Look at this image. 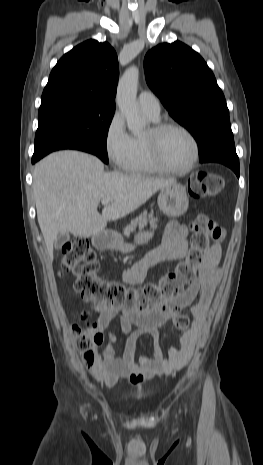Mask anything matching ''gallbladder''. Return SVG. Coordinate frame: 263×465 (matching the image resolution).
Masks as SVG:
<instances>
[{
	"label": "gallbladder",
	"instance_id": "bac80fb5",
	"mask_svg": "<svg viewBox=\"0 0 263 465\" xmlns=\"http://www.w3.org/2000/svg\"><path fill=\"white\" fill-rule=\"evenodd\" d=\"M70 239V235L66 234H59L54 242V247L56 250H59L68 240Z\"/></svg>",
	"mask_w": 263,
	"mask_h": 465
}]
</instances>
